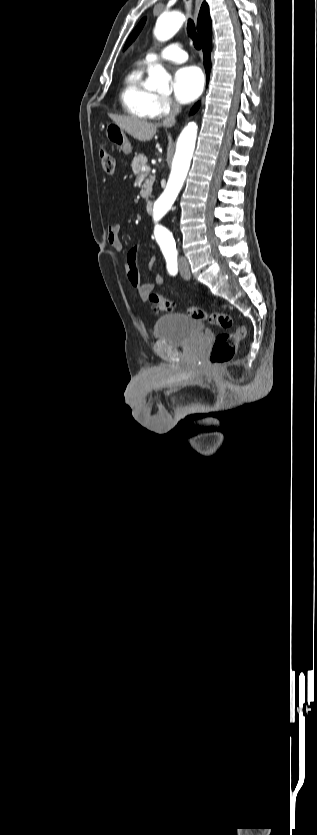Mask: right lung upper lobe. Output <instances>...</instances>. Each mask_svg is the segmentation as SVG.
I'll list each match as a JSON object with an SVG mask.
<instances>
[{
	"mask_svg": "<svg viewBox=\"0 0 317 835\" xmlns=\"http://www.w3.org/2000/svg\"><path fill=\"white\" fill-rule=\"evenodd\" d=\"M197 29L202 38L205 37L209 30H212V23L209 16V7L205 2L202 4L199 12Z\"/></svg>",
	"mask_w": 317,
	"mask_h": 835,
	"instance_id": "obj_1",
	"label": "right lung upper lobe"
}]
</instances>
